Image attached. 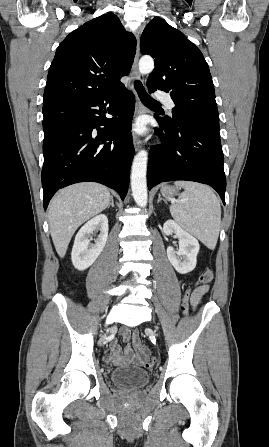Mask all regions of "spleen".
I'll return each instance as SVG.
<instances>
[{
	"mask_svg": "<svg viewBox=\"0 0 269 447\" xmlns=\"http://www.w3.org/2000/svg\"><path fill=\"white\" fill-rule=\"evenodd\" d=\"M184 188L180 202L170 206L173 220L195 235L209 249H215L220 224L221 208L217 196L209 186L196 182H174Z\"/></svg>",
	"mask_w": 269,
	"mask_h": 447,
	"instance_id": "obj_1",
	"label": "spleen"
}]
</instances>
